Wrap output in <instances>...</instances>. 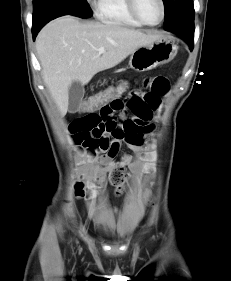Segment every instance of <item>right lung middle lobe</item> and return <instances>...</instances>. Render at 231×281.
Here are the masks:
<instances>
[{"label": "right lung middle lobe", "instance_id": "right-lung-middle-lobe-1", "mask_svg": "<svg viewBox=\"0 0 231 281\" xmlns=\"http://www.w3.org/2000/svg\"><path fill=\"white\" fill-rule=\"evenodd\" d=\"M52 0H33V13H36L42 6ZM62 2L76 9L80 13V17L88 18L92 15V11L86 0H54Z\"/></svg>", "mask_w": 231, "mask_h": 281}]
</instances>
